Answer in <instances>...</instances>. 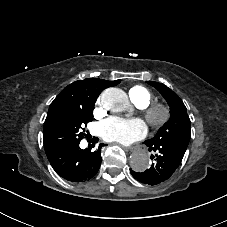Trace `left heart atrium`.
<instances>
[{
    "label": "left heart atrium",
    "instance_id": "1",
    "mask_svg": "<svg viewBox=\"0 0 227 227\" xmlns=\"http://www.w3.org/2000/svg\"><path fill=\"white\" fill-rule=\"evenodd\" d=\"M147 125L140 118L122 119L111 116L99 125V133L103 139L120 144H132L147 135Z\"/></svg>",
    "mask_w": 227,
    "mask_h": 227
}]
</instances>
